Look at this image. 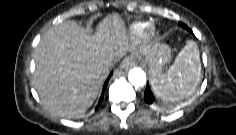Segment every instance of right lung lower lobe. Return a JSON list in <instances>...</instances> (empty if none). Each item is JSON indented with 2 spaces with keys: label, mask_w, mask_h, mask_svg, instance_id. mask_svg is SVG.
I'll return each mask as SVG.
<instances>
[{
  "label": "right lung lower lobe",
  "mask_w": 236,
  "mask_h": 135,
  "mask_svg": "<svg viewBox=\"0 0 236 135\" xmlns=\"http://www.w3.org/2000/svg\"><path fill=\"white\" fill-rule=\"evenodd\" d=\"M111 75H112V72H111V74L109 75L108 79L106 80V82H105V84H104L103 92H104V90L106 89L107 83H108V81H109ZM103 96H104V94L101 95L100 100H99V103H98V105H97L96 108H98V107L100 106V104H101V102H102V100H103Z\"/></svg>",
  "instance_id": "1"
}]
</instances>
